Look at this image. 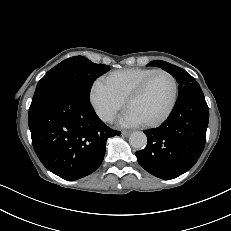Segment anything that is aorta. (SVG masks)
<instances>
[{
  "label": "aorta",
  "mask_w": 231,
  "mask_h": 231,
  "mask_svg": "<svg viewBox=\"0 0 231 231\" xmlns=\"http://www.w3.org/2000/svg\"><path fill=\"white\" fill-rule=\"evenodd\" d=\"M130 145L137 150L145 148L147 144V137L143 132L135 131L131 134L130 138Z\"/></svg>",
  "instance_id": "762f6f07"
}]
</instances>
